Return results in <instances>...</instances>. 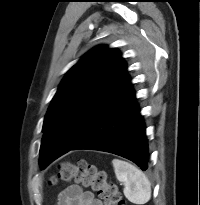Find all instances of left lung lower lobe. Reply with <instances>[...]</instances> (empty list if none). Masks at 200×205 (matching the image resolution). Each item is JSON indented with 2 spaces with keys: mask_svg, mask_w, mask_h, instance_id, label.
<instances>
[{
  "mask_svg": "<svg viewBox=\"0 0 200 205\" xmlns=\"http://www.w3.org/2000/svg\"><path fill=\"white\" fill-rule=\"evenodd\" d=\"M76 149L110 152L147 170L149 154L145 124L128 76L105 112L71 150Z\"/></svg>",
  "mask_w": 200,
  "mask_h": 205,
  "instance_id": "1",
  "label": "left lung lower lobe"
}]
</instances>
